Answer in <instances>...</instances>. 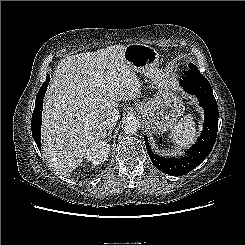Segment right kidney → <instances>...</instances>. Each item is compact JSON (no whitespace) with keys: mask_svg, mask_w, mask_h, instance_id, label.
Instances as JSON below:
<instances>
[{"mask_svg":"<svg viewBox=\"0 0 245 245\" xmlns=\"http://www.w3.org/2000/svg\"><path fill=\"white\" fill-rule=\"evenodd\" d=\"M109 151L110 145L107 142L97 141L87 149L85 158L93 165H98L107 160Z\"/></svg>","mask_w":245,"mask_h":245,"instance_id":"obj_1","label":"right kidney"}]
</instances>
